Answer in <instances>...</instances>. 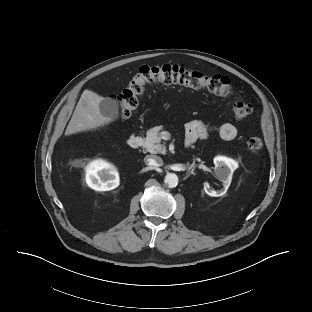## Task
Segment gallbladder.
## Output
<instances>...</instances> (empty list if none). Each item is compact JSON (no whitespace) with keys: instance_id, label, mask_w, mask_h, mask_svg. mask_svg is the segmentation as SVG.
<instances>
[{"instance_id":"obj_1","label":"gallbladder","mask_w":312,"mask_h":312,"mask_svg":"<svg viewBox=\"0 0 312 312\" xmlns=\"http://www.w3.org/2000/svg\"><path fill=\"white\" fill-rule=\"evenodd\" d=\"M100 113L107 119L113 121L119 117V105L117 100L105 97L99 103Z\"/></svg>"}]
</instances>
